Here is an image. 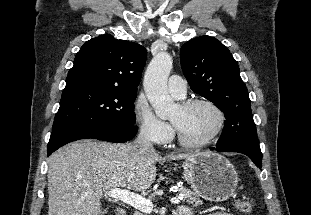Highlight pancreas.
Instances as JSON below:
<instances>
[{"label": "pancreas", "instance_id": "cf45deb5", "mask_svg": "<svg viewBox=\"0 0 311 215\" xmlns=\"http://www.w3.org/2000/svg\"><path fill=\"white\" fill-rule=\"evenodd\" d=\"M179 192L183 197V201H186L188 204H193L194 207L203 204L202 200H200L198 195L195 192H192L190 189L184 186H180ZM134 215H145V214L140 211H136Z\"/></svg>", "mask_w": 311, "mask_h": 215}]
</instances>
